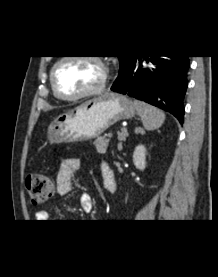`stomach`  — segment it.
<instances>
[{
  "instance_id": "1",
  "label": "stomach",
  "mask_w": 218,
  "mask_h": 277,
  "mask_svg": "<svg viewBox=\"0 0 218 277\" xmlns=\"http://www.w3.org/2000/svg\"><path fill=\"white\" fill-rule=\"evenodd\" d=\"M135 114L136 108L128 97L106 92L56 118L48 127L47 138L51 144L91 140Z\"/></svg>"
}]
</instances>
